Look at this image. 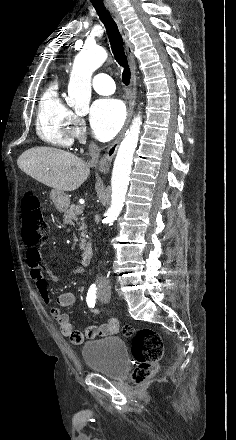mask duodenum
I'll use <instances>...</instances> for the list:
<instances>
[{
  "label": "duodenum",
  "mask_w": 236,
  "mask_h": 440,
  "mask_svg": "<svg viewBox=\"0 0 236 440\" xmlns=\"http://www.w3.org/2000/svg\"><path fill=\"white\" fill-rule=\"evenodd\" d=\"M92 256H93V248L90 244H87L82 252V259H81L82 264L84 266L88 265L92 259Z\"/></svg>",
  "instance_id": "410a0bca"
}]
</instances>
